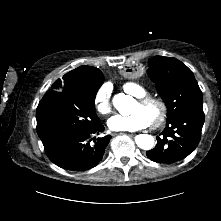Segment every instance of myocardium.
I'll list each match as a JSON object with an SVG mask.
<instances>
[{
    "label": "myocardium",
    "instance_id": "obj_1",
    "mask_svg": "<svg viewBox=\"0 0 221 221\" xmlns=\"http://www.w3.org/2000/svg\"><path fill=\"white\" fill-rule=\"evenodd\" d=\"M137 102L141 105L156 104L159 107L160 112L157 119L151 123L152 128H158L164 123L168 109L166 103L162 99L152 96H144L138 98Z\"/></svg>",
    "mask_w": 221,
    "mask_h": 221
}]
</instances>
